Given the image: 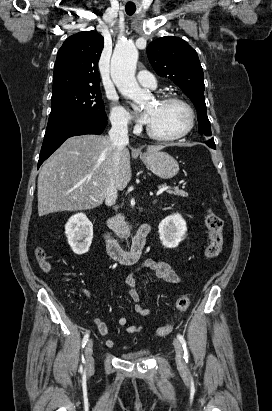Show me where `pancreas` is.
I'll use <instances>...</instances> for the list:
<instances>
[{
    "label": "pancreas",
    "instance_id": "cf45deb5",
    "mask_svg": "<svg viewBox=\"0 0 272 411\" xmlns=\"http://www.w3.org/2000/svg\"><path fill=\"white\" fill-rule=\"evenodd\" d=\"M169 194H174L181 197H187L188 193L175 188L174 190L167 191ZM108 227L115 232L116 235L122 236L124 234V217L120 214L116 215L115 217L108 220Z\"/></svg>",
    "mask_w": 272,
    "mask_h": 411
}]
</instances>
